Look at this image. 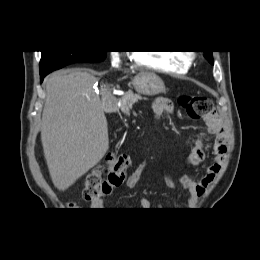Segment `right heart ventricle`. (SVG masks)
Instances as JSON below:
<instances>
[{
  "label": "right heart ventricle",
  "instance_id": "1",
  "mask_svg": "<svg viewBox=\"0 0 260 260\" xmlns=\"http://www.w3.org/2000/svg\"><path fill=\"white\" fill-rule=\"evenodd\" d=\"M133 59L140 66L168 73H185L190 66L186 56L174 52L137 51Z\"/></svg>",
  "mask_w": 260,
  "mask_h": 260
}]
</instances>
